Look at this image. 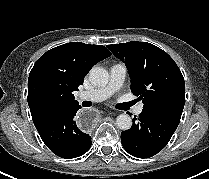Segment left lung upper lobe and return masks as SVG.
<instances>
[{"instance_id": "left-lung-upper-lobe-1", "label": "left lung upper lobe", "mask_w": 209, "mask_h": 179, "mask_svg": "<svg viewBox=\"0 0 209 179\" xmlns=\"http://www.w3.org/2000/svg\"><path fill=\"white\" fill-rule=\"evenodd\" d=\"M129 71L131 91L144 103L143 110L183 111L185 82L174 60L147 42L107 46Z\"/></svg>"}]
</instances>
